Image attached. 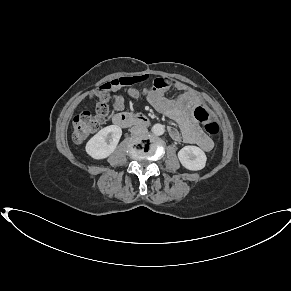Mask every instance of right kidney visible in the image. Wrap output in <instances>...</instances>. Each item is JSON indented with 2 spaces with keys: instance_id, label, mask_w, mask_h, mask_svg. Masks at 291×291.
Returning a JSON list of instances; mask_svg holds the SVG:
<instances>
[{
  "instance_id": "right-kidney-1",
  "label": "right kidney",
  "mask_w": 291,
  "mask_h": 291,
  "mask_svg": "<svg viewBox=\"0 0 291 291\" xmlns=\"http://www.w3.org/2000/svg\"><path fill=\"white\" fill-rule=\"evenodd\" d=\"M122 135L117 125H110L101 129L86 144V153L93 159H105L116 149Z\"/></svg>"
}]
</instances>
